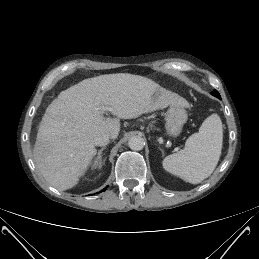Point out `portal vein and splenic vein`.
Here are the masks:
<instances>
[{"instance_id": "portal-vein-and-splenic-vein-1", "label": "portal vein and splenic vein", "mask_w": 259, "mask_h": 259, "mask_svg": "<svg viewBox=\"0 0 259 259\" xmlns=\"http://www.w3.org/2000/svg\"><path fill=\"white\" fill-rule=\"evenodd\" d=\"M108 110H110L108 107L103 108V111H108Z\"/></svg>"}]
</instances>
